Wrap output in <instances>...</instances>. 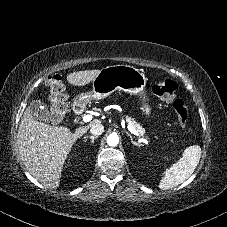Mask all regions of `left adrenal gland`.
I'll list each match as a JSON object with an SVG mask.
<instances>
[{
	"label": "left adrenal gland",
	"mask_w": 227,
	"mask_h": 227,
	"mask_svg": "<svg viewBox=\"0 0 227 227\" xmlns=\"http://www.w3.org/2000/svg\"><path fill=\"white\" fill-rule=\"evenodd\" d=\"M126 134L130 137L131 143H132L133 145H136V146L139 145L137 142H135V141L133 140L132 135H131L130 133L126 132Z\"/></svg>",
	"instance_id": "1"
}]
</instances>
